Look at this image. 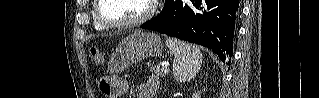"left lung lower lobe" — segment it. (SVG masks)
Wrapping results in <instances>:
<instances>
[{
	"instance_id": "left-lung-lower-lobe-1",
	"label": "left lung lower lobe",
	"mask_w": 319,
	"mask_h": 98,
	"mask_svg": "<svg viewBox=\"0 0 319 98\" xmlns=\"http://www.w3.org/2000/svg\"><path fill=\"white\" fill-rule=\"evenodd\" d=\"M238 13L239 0H165L160 17L141 27L203 45L229 65Z\"/></svg>"
}]
</instances>
